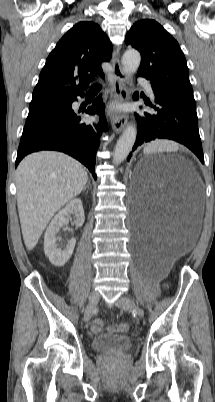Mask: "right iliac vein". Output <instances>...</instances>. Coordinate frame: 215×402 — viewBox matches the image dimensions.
I'll return each instance as SVG.
<instances>
[{
  "label": "right iliac vein",
  "mask_w": 215,
  "mask_h": 402,
  "mask_svg": "<svg viewBox=\"0 0 215 402\" xmlns=\"http://www.w3.org/2000/svg\"><path fill=\"white\" fill-rule=\"evenodd\" d=\"M99 299H100V296H99L98 292L94 291L91 293V295L89 297V303L84 312V320L85 321H88L92 317L94 310L99 302Z\"/></svg>",
  "instance_id": "right-iliac-vein-1"
}]
</instances>
